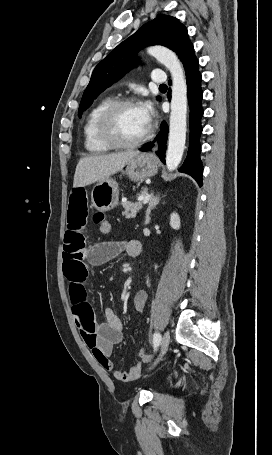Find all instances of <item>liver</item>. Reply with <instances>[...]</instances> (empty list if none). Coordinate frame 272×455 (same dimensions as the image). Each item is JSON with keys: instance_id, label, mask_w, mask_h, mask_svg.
<instances>
[{"instance_id": "liver-1", "label": "liver", "mask_w": 272, "mask_h": 455, "mask_svg": "<svg viewBox=\"0 0 272 455\" xmlns=\"http://www.w3.org/2000/svg\"><path fill=\"white\" fill-rule=\"evenodd\" d=\"M138 151H126L109 155H94L81 158L76 166L73 187H84L102 182L122 170Z\"/></svg>"}]
</instances>
